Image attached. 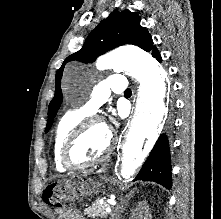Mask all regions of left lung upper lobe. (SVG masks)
Listing matches in <instances>:
<instances>
[{"label":"left lung upper lobe","mask_w":221,"mask_h":219,"mask_svg":"<svg viewBox=\"0 0 221 219\" xmlns=\"http://www.w3.org/2000/svg\"><path fill=\"white\" fill-rule=\"evenodd\" d=\"M141 17L135 12L124 10L112 12L89 34L83 47L67 57L55 76V96L49 104L46 132L53 124L54 117L62 103L61 78L65 64L70 61L92 63L99 55L120 45L133 44L147 52L155 47L148 30L140 25Z\"/></svg>","instance_id":"left-lung-upper-lobe-1"}]
</instances>
